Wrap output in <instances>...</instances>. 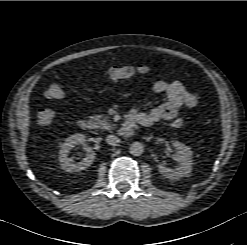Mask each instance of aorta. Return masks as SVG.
I'll return each instance as SVG.
<instances>
[{
	"label": "aorta",
	"mask_w": 247,
	"mask_h": 245,
	"mask_svg": "<svg viewBox=\"0 0 247 245\" xmlns=\"http://www.w3.org/2000/svg\"><path fill=\"white\" fill-rule=\"evenodd\" d=\"M130 154L140 156L144 152V146L141 142H133L129 147Z\"/></svg>",
	"instance_id": "aorta-1"
}]
</instances>
